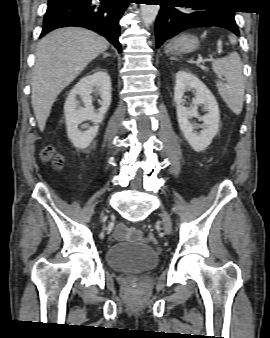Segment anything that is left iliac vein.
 Returning <instances> with one entry per match:
<instances>
[{"label":"left iliac vein","mask_w":270,"mask_h":338,"mask_svg":"<svg viewBox=\"0 0 270 338\" xmlns=\"http://www.w3.org/2000/svg\"><path fill=\"white\" fill-rule=\"evenodd\" d=\"M162 219H163V227H164V231L167 234H170L171 230H172V222H171V218L168 215V213L166 211H164L162 213Z\"/></svg>","instance_id":"obj_1"}]
</instances>
